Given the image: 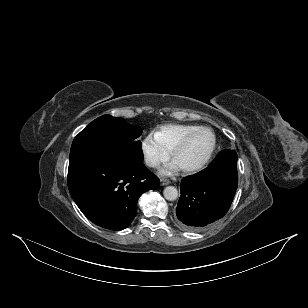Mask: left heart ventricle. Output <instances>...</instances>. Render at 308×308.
Listing matches in <instances>:
<instances>
[{"label": "left heart ventricle", "mask_w": 308, "mask_h": 308, "mask_svg": "<svg viewBox=\"0 0 308 308\" xmlns=\"http://www.w3.org/2000/svg\"><path fill=\"white\" fill-rule=\"evenodd\" d=\"M212 143L213 138L209 132H200L196 134L188 145L176 155L174 161L181 169L197 165L207 156Z\"/></svg>", "instance_id": "obj_1"}]
</instances>
